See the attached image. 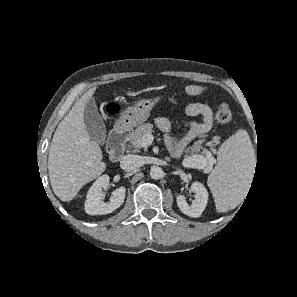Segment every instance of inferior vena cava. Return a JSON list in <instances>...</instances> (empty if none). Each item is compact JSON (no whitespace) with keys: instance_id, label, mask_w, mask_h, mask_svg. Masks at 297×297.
Masks as SVG:
<instances>
[{"instance_id":"602c4592","label":"inferior vena cava","mask_w":297,"mask_h":297,"mask_svg":"<svg viewBox=\"0 0 297 297\" xmlns=\"http://www.w3.org/2000/svg\"><path fill=\"white\" fill-rule=\"evenodd\" d=\"M142 164H143V161L141 156L131 155V154H128L122 157V160L120 162L121 168L126 171L137 169L140 166H142Z\"/></svg>"}]
</instances>
